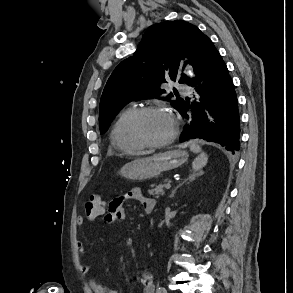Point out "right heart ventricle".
Returning <instances> with one entry per match:
<instances>
[{"label": "right heart ventricle", "mask_w": 293, "mask_h": 293, "mask_svg": "<svg viewBox=\"0 0 293 293\" xmlns=\"http://www.w3.org/2000/svg\"><path fill=\"white\" fill-rule=\"evenodd\" d=\"M136 110L135 106L125 108L113 123L110 141L113 147L121 152L135 153L144 149V146L134 141L129 133V123Z\"/></svg>", "instance_id": "obj_1"}]
</instances>
